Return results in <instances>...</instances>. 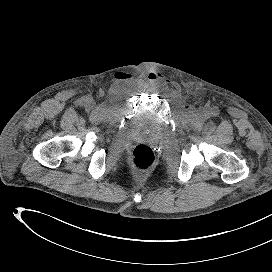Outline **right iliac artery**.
<instances>
[{
    "label": "right iliac artery",
    "mask_w": 272,
    "mask_h": 272,
    "mask_svg": "<svg viewBox=\"0 0 272 272\" xmlns=\"http://www.w3.org/2000/svg\"><path fill=\"white\" fill-rule=\"evenodd\" d=\"M82 104H85V102H86V99L85 98H83V99H81V101H80Z\"/></svg>",
    "instance_id": "right-iliac-artery-1"
}]
</instances>
